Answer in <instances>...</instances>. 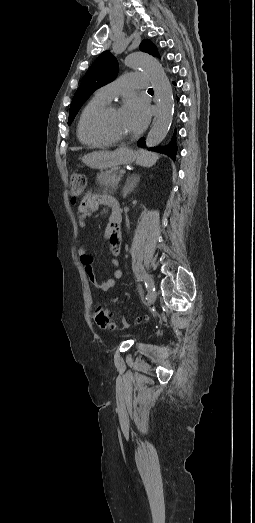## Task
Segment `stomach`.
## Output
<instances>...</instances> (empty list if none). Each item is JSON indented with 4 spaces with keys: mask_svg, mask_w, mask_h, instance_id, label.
<instances>
[{
    "mask_svg": "<svg viewBox=\"0 0 255 523\" xmlns=\"http://www.w3.org/2000/svg\"><path fill=\"white\" fill-rule=\"evenodd\" d=\"M136 158V152H133L130 148H126V146H122V148H117L115 152H110V154L90 151L84 163L87 167H95V170H109V168H114V166H127V164H132Z\"/></svg>",
    "mask_w": 255,
    "mask_h": 523,
    "instance_id": "stomach-1",
    "label": "stomach"
}]
</instances>
